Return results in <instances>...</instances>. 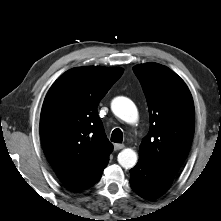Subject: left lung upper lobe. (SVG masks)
I'll return each instance as SVG.
<instances>
[{
  "label": "left lung upper lobe",
  "mask_w": 221,
  "mask_h": 221,
  "mask_svg": "<svg viewBox=\"0 0 221 221\" xmlns=\"http://www.w3.org/2000/svg\"><path fill=\"white\" fill-rule=\"evenodd\" d=\"M133 71L146 96L150 130L139 158L176 175L188 156L195 126L194 103L184 81L157 63L137 65Z\"/></svg>",
  "instance_id": "1"
}]
</instances>
